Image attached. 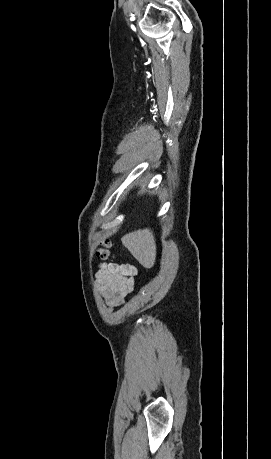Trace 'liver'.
<instances>
[{
    "label": "liver",
    "instance_id": "6515ba94",
    "mask_svg": "<svg viewBox=\"0 0 271 459\" xmlns=\"http://www.w3.org/2000/svg\"><path fill=\"white\" fill-rule=\"evenodd\" d=\"M123 245L131 251L144 267H153L156 257V243L149 228L137 229L121 237Z\"/></svg>",
    "mask_w": 271,
    "mask_h": 459
}]
</instances>
